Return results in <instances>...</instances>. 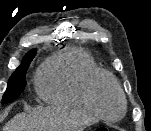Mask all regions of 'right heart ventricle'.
I'll return each mask as SVG.
<instances>
[{
	"instance_id": "1",
	"label": "right heart ventricle",
	"mask_w": 151,
	"mask_h": 131,
	"mask_svg": "<svg viewBox=\"0 0 151 131\" xmlns=\"http://www.w3.org/2000/svg\"><path fill=\"white\" fill-rule=\"evenodd\" d=\"M100 71L89 53L68 47L47 59L38 71L36 86L47 103L98 116L88 97L92 76Z\"/></svg>"
}]
</instances>
